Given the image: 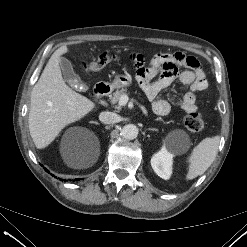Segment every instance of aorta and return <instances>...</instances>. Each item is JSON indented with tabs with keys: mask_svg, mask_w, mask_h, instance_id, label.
Masks as SVG:
<instances>
[{
	"mask_svg": "<svg viewBox=\"0 0 247 247\" xmlns=\"http://www.w3.org/2000/svg\"><path fill=\"white\" fill-rule=\"evenodd\" d=\"M138 128L134 124H127L121 129V135L125 139L132 140L138 135Z\"/></svg>",
	"mask_w": 247,
	"mask_h": 247,
	"instance_id": "1",
	"label": "aorta"
}]
</instances>
